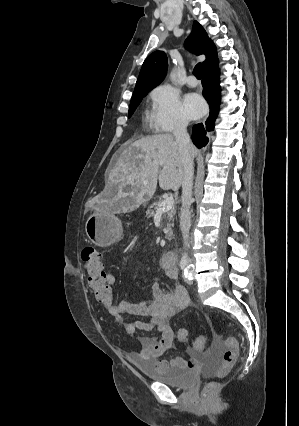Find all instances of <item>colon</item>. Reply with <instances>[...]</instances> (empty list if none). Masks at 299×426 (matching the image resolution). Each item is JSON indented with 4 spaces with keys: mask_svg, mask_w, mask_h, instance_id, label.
<instances>
[{
    "mask_svg": "<svg viewBox=\"0 0 299 426\" xmlns=\"http://www.w3.org/2000/svg\"><path fill=\"white\" fill-rule=\"evenodd\" d=\"M82 260L85 271L87 273V284L93 292L98 303L105 308L114 303V292L112 286L106 281L105 269L102 263L100 252L91 246L85 247L82 250ZM176 339L179 342H186L187 332L181 328L176 333ZM224 343L227 347L223 355V365L217 370L216 376L223 377L228 370L236 363L238 359V344L234 337H226ZM205 345V338L199 337L193 342V348L200 350ZM217 389V383L214 381L208 382L202 389V397L210 398Z\"/></svg>",
    "mask_w": 299,
    "mask_h": 426,
    "instance_id": "obj_1",
    "label": "colon"
}]
</instances>
